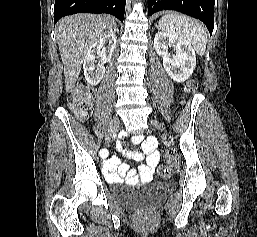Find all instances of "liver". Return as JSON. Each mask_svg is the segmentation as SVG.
I'll return each mask as SVG.
<instances>
[{"label": "liver", "mask_w": 257, "mask_h": 237, "mask_svg": "<svg viewBox=\"0 0 257 237\" xmlns=\"http://www.w3.org/2000/svg\"><path fill=\"white\" fill-rule=\"evenodd\" d=\"M116 29L117 23L109 15L76 14L58 22L57 41L67 93L75 87L88 49Z\"/></svg>", "instance_id": "liver-1"}]
</instances>
